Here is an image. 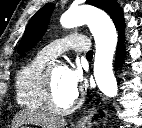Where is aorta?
<instances>
[{"label": "aorta", "instance_id": "obj_1", "mask_svg": "<svg viewBox=\"0 0 142 128\" xmlns=\"http://www.w3.org/2000/svg\"><path fill=\"white\" fill-rule=\"evenodd\" d=\"M65 28L88 25L95 39L94 77L99 90L108 97H116L117 81L113 73V57L117 45V31L108 15L94 8H70L60 18Z\"/></svg>", "mask_w": 142, "mask_h": 128}]
</instances>
